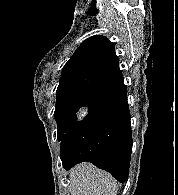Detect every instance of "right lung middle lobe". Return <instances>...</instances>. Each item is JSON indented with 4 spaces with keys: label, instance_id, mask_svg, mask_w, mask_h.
I'll list each match as a JSON object with an SVG mask.
<instances>
[{
    "label": "right lung middle lobe",
    "instance_id": "obj_1",
    "mask_svg": "<svg viewBox=\"0 0 178 195\" xmlns=\"http://www.w3.org/2000/svg\"><path fill=\"white\" fill-rule=\"evenodd\" d=\"M92 94H69L56 99L54 118L57 121V139L61 141L83 119V113L95 100Z\"/></svg>",
    "mask_w": 178,
    "mask_h": 195
}]
</instances>
